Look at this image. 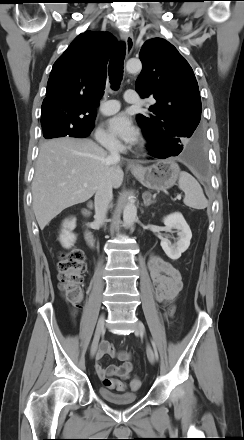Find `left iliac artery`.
<instances>
[{"label":"left iliac artery","mask_w":244,"mask_h":440,"mask_svg":"<svg viewBox=\"0 0 244 440\" xmlns=\"http://www.w3.org/2000/svg\"><path fill=\"white\" fill-rule=\"evenodd\" d=\"M152 342V345H153V347H154V352H155V359L156 360H158L159 359V356H158V352H157V349L155 348V344H154V341H151Z\"/></svg>","instance_id":"left-iliac-artery-1"}]
</instances>
